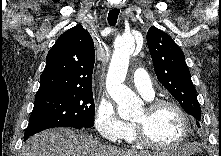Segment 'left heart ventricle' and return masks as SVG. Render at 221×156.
Segmentation results:
<instances>
[{
  "instance_id": "b2bd125f",
  "label": "left heart ventricle",
  "mask_w": 221,
  "mask_h": 156,
  "mask_svg": "<svg viewBox=\"0 0 221 156\" xmlns=\"http://www.w3.org/2000/svg\"><path fill=\"white\" fill-rule=\"evenodd\" d=\"M134 121L143 124L148 137L162 145L175 143L183 132L181 117L171 107H163L152 115L145 108Z\"/></svg>"
}]
</instances>
